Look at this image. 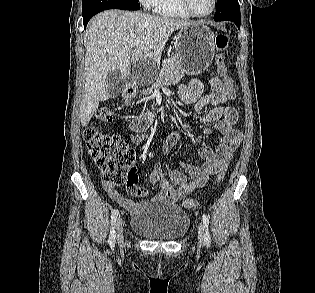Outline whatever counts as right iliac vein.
Segmentation results:
<instances>
[{
    "instance_id": "right-iliac-vein-1",
    "label": "right iliac vein",
    "mask_w": 315,
    "mask_h": 293,
    "mask_svg": "<svg viewBox=\"0 0 315 293\" xmlns=\"http://www.w3.org/2000/svg\"><path fill=\"white\" fill-rule=\"evenodd\" d=\"M116 239L118 242L123 240V220L119 217L115 222Z\"/></svg>"
}]
</instances>
